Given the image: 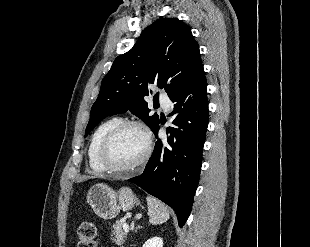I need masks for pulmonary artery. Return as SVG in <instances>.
I'll use <instances>...</instances> for the list:
<instances>
[{
    "mask_svg": "<svg viewBox=\"0 0 310 247\" xmlns=\"http://www.w3.org/2000/svg\"><path fill=\"white\" fill-rule=\"evenodd\" d=\"M160 104L164 108L165 111H168L171 107V100L165 94H161L159 97Z\"/></svg>",
    "mask_w": 310,
    "mask_h": 247,
    "instance_id": "obj_1",
    "label": "pulmonary artery"
}]
</instances>
